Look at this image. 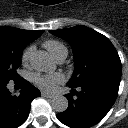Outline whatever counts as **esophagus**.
I'll use <instances>...</instances> for the list:
<instances>
[{
    "instance_id": "34e87169",
    "label": "esophagus",
    "mask_w": 128,
    "mask_h": 128,
    "mask_svg": "<svg viewBox=\"0 0 128 128\" xmlns=\"http://www.w3.org/2000/svg\"><path fill=\"white\" fill-rule=\"evenodd\" d=\"M41 95L45 98H53L54 95L53 94H49V93H46V92H41Z\"/></svg>"
}]
</instances>
